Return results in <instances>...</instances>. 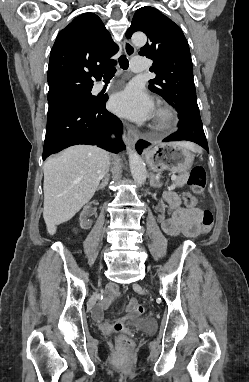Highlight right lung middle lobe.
<instances>
[{
  "label": "right lung middle lobe",
  "mask_w": 249,
  "mask_h": 382,
  "mask_svg": "<svg viewBox=\"0 0 249 382\" xmlns=\"http://www.w3.org/2000/svg\"><path fill=\"white\" fill-rule=\"evenodd\" d=\"M95 101V96L91 94V89L72 94L61 100L49 103L48 117H53L59 113L76 107H86Z\"/></svg>",
  "instance_id": "1"
}]
</instances>
